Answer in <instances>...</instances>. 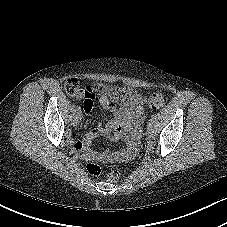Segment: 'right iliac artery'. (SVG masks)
Wrapping results in <instances>:
<instances>
[{
  "mask_svg": "<svg viewBox=\"0 0 227 227\" xmlns=\"http://www.w3.org/2000/svg\"><path fill=\"white\" fill-rule=\"evenodd\" d=\"M76 110L78 113H81V108L79 106H76Z\"/></svg>",
  "mask_w": 227,
  "mask_h": 227,
  "instance_id": "1",
  "label": "right iliac artery"
}]
</instances>
